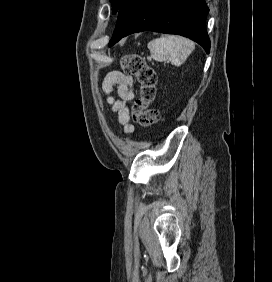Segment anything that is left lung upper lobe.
Masks as SVG:
<instances>
[{
    "label": "left lung upper lobe",
    "mask_w": 272,
    "mask_h": 282,
    "mask_svg": "<svg viewBox=\"0 0 272 282\" xmlns=\"http://www.w3.org/2000/svg\"><path fill=\"white\" fill-rule=\"evenodd\" d=\"M125 0H110V2L112 3V10L113 13L115 14L116 12H118L119 8L121 7V5L124 3Z\"/></svg>",
    "instance_id": "1"
}]
</instances>
